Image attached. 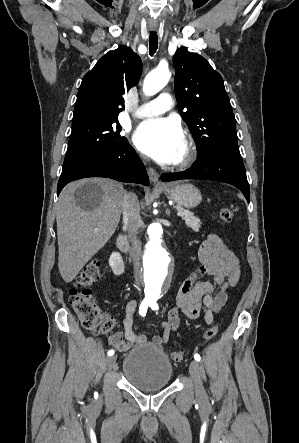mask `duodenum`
<instances>
[{
	"label": "duodenum",
	"mask_w": 299,
	"mask_h": 443,
	"mask_svg": "<svg viewBox=\"0 0 299 443\" xmlns=\"http://www.w3.org/2000/svg\"><path fill=\"white\" fill-rule=\"evenodd\" d=\"M117 246H118V248L122 252H124L126 254H130L131 253V247H130L129 242H128V240H127L125 235H119L118 236V238H117Z\"/></svg>",
	"instance_id": "410a0bca"
}]
</instances>
